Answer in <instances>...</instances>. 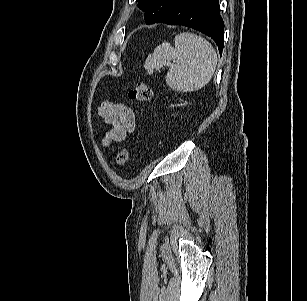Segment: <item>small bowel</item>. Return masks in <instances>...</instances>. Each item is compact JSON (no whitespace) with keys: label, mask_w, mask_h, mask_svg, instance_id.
Wrapping results in <instances>:
<instances>
[{"label":"small bowel","mask_w":307,"mask_h":301,"mask_svg":"<svg viewBox=\"0 0 307 301\" xmlns=\"http://www.w3.org/2000/svg\"><path fill=\"white\" fill-rule=\"evenodd\" d=\"M99 115L112 126L104 138L102 144L108 148L114 142H122L135 129V113L124 103L104 101L98 108Z\"/></svg>","instance_id":"obj_1"}]
</instances>
